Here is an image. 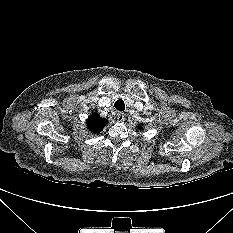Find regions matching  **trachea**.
I'll return each mask as SVG.
<instances>
[{
  "instance_id": "3493384b",
  "label": "trachea",
  "mask_w": 233,
  "mask_h": 233,
  "mask_svg": "<svg viewBox=\"0 0 233 233\" xmlns=\"http://www.w3.org/2000/svg\"><path fill=\"white\" fill-rule=\"evenodd\" d=\"M114 106L118 111H124L125 110V103L121 99L117 100L115 102Z\"/></svg>"
}]
</instances>
